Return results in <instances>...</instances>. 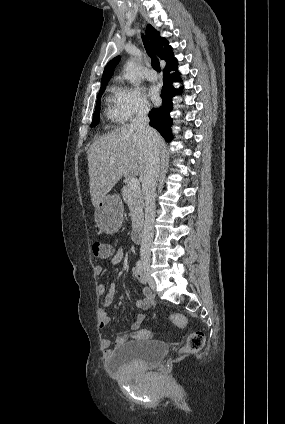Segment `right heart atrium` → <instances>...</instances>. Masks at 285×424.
I'll use <instances>...</instances> for the list:
<instances>
[{"mask_svg": "<svg viewBox=\"0 0 285 424\" xmlns=\"http://www.w3.org/2000/svg\"><path fill=\"white\" fill-rule=\"evenodd\" d=\"M118 102L124 121L144 116L150 111V104L143 92L137 87L118 88Z\"/></svg>", "mask_w": 285, "mask_h": 424, "instance_id": "d8ad5b80", "label": "right heart atrium"}]
</instances>
